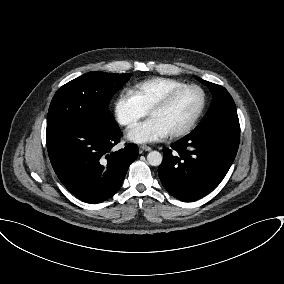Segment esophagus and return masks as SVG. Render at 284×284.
Segmentation results:
<instances>
[{"mask_svg":"<svg viewBox=\"0 0 284 284\" xmlns=\"http://www.w3.org/2000/svg\"><path fill=\"white\" fill-rule=\"evenodd\" d=\"M140 148L145 150V151H151L152 150V148L148 145H141Z\"/></svg>","mask_w":284,"mask_h":284,"instance_id":"34e87169","label":"esophagus"}]
</instances>
